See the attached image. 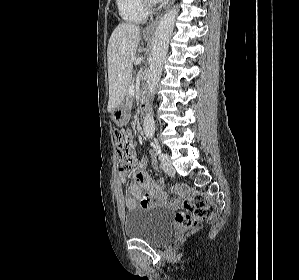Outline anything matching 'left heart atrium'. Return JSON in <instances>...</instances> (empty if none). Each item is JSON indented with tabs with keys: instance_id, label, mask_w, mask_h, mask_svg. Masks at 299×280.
<instances>
[{
	"instance_id": "39dd6f15",
	"label": "left heart atrium",
	"mask_w": 299,
	"mask_h": 280,
	"mask_svg": "<svg viewBox=\"0 0 299 280\" xmlns=\"http://www.w3.org/2000/svg\"><path fill=\"white\" fill-rule=\"evenodd\" d=\"M153 2H156V3H159V2H162L164 0H152Z\"/></svg>"
}]
</instances>
